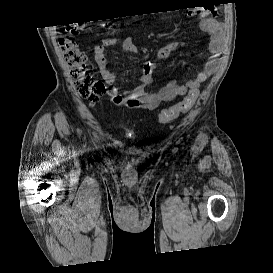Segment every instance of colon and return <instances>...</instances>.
Listing matches in <instances>:
<instances>
[{"label": "colon", "mask_w": 273, "mask_h": 273, "mask_svg": "<svg viewBox=\"0 0 273 273\" xmlns=\"http://www.w3.org/2000/svg\"><path fill=\"white\" fill-rule=\"evenodd\" d=\"M79 30L78 25H69L60 34L58 45L69 75L74 81L76 93L90 104H96L106 92V86L90 70L87 54L80 49L74 39ZM196 96L197 92L192 91L177 104L161 110L158 117L159 122L163 124L172 122L179 115L187 112L194 104Z\"/></svg>", "instance_id": "5ec220e1"}]
</instances>
